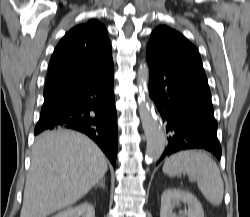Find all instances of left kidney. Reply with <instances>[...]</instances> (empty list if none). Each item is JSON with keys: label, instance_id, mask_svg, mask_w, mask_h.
I'll list each match as a JSON object with an SVG mask.
<instances>
[{"label": "left kidney", "instance_id": "5707ae66", "mask_svg": "<svg viewBox=\"0 0 250 217\" xmlns=\"http://www.w3.org/2000/svg\"><path fill=\"white\" fill-rule=\"evenodd\" d=\"M187 204L188 209L177 215L173 212L180 203ZM204 217L202 205L198 199L189 191L178 188H168L161 196L160 217Z\"/></svg>", "mask_w": 250, "mask_h": 217}]
</instances>
